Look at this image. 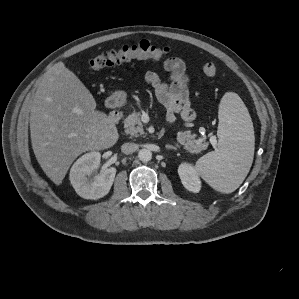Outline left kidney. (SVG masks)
<instances>
[{
    "instance_id": "1",
    "label": "left kidney",
    "mask_w": 299,
    "mask_h": 299,
    "mask_svg": "<svg viewBox=\"0 0 299 299\" xmlns=\"http://www.w3.org/2000/svg\"><path fill=\"white\" fill-rule=\"evenodd\" d=\"M178 174L180 176L183 186L194 193H198L201 189V181L198 177V173L193 166L188 163H183L178 168Z\"/></svg>"
}]
</instances>
